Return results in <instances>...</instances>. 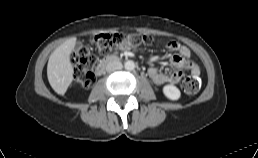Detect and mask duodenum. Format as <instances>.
Returning a JSON list of instances; mask_svg holds the SVG:
<instances>
[{
    "label": "duodenum",
    "instance_id": "1",
    "mask_svg": "<svg viewBox=\"0 0 258 158\" xmlns=\"http://www.w3.org/2000/svg\"><path fill=\"white\" fill-rule=\"evenodd\" d=\"M119 61V58L117 56H108L106 58H104L95 68V74L97 76H100L105 69L107 68V66H109L112 63H115Z\"/></svg>",
    "mask_w": 258,
    "mask_h": 158
}]
</instances>
